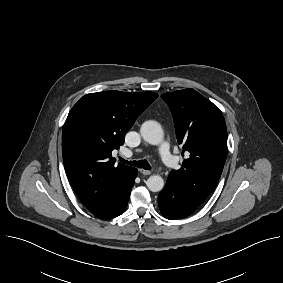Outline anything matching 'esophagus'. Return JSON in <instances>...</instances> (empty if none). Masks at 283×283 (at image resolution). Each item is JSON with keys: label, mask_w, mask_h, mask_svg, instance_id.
Here are the masks:
<instances>
[{"label": "esophagus", "mask_w": 283, "mask_h": 283, "mask_svg": "<svg viewBox=\"0 0 283 283\" xmlns=\"http://www.w3.org/2000/svg\"><path fill=\"white\" fill-rule=\"evenodd\" d=\"M140 172H141L143 175H150V174H151V171L146 170V169H140Z\"/></svg>", "instance_id": "1"}]
</instances>
